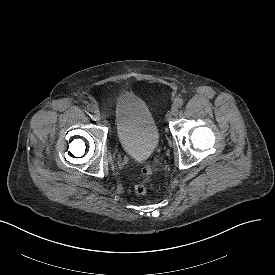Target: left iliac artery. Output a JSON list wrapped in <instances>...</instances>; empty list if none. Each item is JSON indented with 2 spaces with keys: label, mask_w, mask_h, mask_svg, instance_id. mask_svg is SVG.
Returning <instances> with one entry per match:
<instances>
[{
  "label": "left iliac artery",
  "mask_w": 275,
  "mask_h": 275,
  "mask_svg": "<svg viewBox=\"0 0 275 275\" xmlns=\"http://www.w3.org/2000/svg\"><path fill=\"white\" fill-rule=\"evenodd\" d=\"M175 104H176L178 107H181V106L183 105V99L177 98L176 101H175Z\"/></svg>",
  "instance_id": "obj_1"
}]
</instances>
